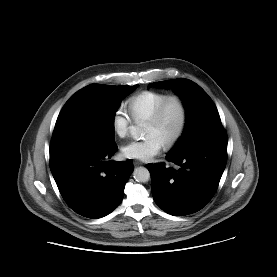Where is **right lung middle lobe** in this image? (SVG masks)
I'll return each instance as SVG.
<instances>
[{
    "label": "right lung middle lobe",
    "mask_w": 277,
    "mask_h": 277,
    "mask_svg": "<svg viewBox=\"0 0 277 277\" xmlns=\"http://www.w3.org/2000/svg\"><path fill=\"white\" fill-rule=\"evenodd\" d=\"M138 85L92 84L76 92L63 106L54 132L89 137L103 145L114 143V118L121 100Z\"/></svg>",
    "instance_id": "right-lung-middle-lobe-1"
}]
</instances>
